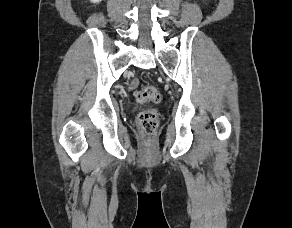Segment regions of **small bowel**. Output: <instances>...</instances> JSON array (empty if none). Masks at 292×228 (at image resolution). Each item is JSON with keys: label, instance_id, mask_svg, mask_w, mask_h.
<instances>
[{"label": "small bowel", "instance_id": "1", "mask_svg": "<svg viewBox=\"0 0 292 228\" xmlns=\"http://www.w3.org/2000/svg\"><path fill=\"white\" fill-rule=\"evenodd\" d=\"M137 80L132 81L131 85H130V89H134L137 86Z\"/></svg>", "mask_w": 292, "mask_h": 228}]
</instances>
